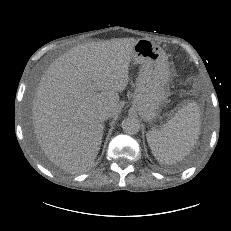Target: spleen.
Instances as JSON below:
<instances>
[{
    "mask_svg": "<svg viewBox=\"0 0 231 231\" xmlns=\"http://www.w3.org/2000/svg\"><path fill=\"white\" fill-rule=\"evenodd\" d=\"M200 125L198 104L191 102L183 106L166 124L147 133L153 156L161 164L181 161L197 143Z\"/></svg>",
    "mask_w": 231,
    "mask_h": 231,
    "instance_id": "spleen-1",
    "label": "spleen"
}]
</instances>
